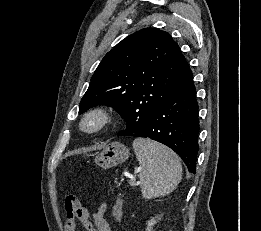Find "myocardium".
I'll return each mask as SVG.
<instances>
[{
	"mask_svg": "<svg viewBox=\"0 0 261 231\" xmlns=\"http://www.w3.org/2000/svg\"><path fill=\"white\" fill-rule=\"evenodd\" d=\"M114 116V111L110 107L98 105L88 109L82 115L78 128L87 134L98 133L113 122Z\"/></svg>",
	"mask_w": 261,
	"mask_h": 231,
	"instance_id": "myocardium-1",
	"label": "myocardium"
}]
</instances>
